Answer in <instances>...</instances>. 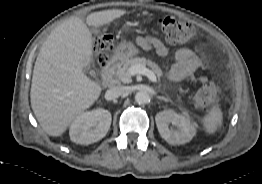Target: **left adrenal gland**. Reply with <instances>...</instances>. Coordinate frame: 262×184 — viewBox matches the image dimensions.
<instances>
[{"mask_svg":"<svg viewBox=\"0 0 262 184\" xmlns=\"http://www.w3.org/2000/svg\"><path fill=\"white\" fill-rule=\"evenodd\" d=\"M157 99H159V100H164V101H166V102L169 101L167 98H165V97H163V96H158Z\"/></svg>","mask_w":262,"mask_h":184,"instance_id":"a2214340","label":"left adrenal gland"}]
</instances>
